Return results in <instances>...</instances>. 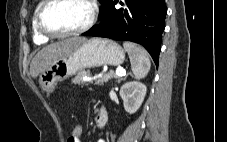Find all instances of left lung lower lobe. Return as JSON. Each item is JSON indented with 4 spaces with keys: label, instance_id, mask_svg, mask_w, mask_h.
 <instances>
[{
    "label": "left lung lower lobe",
    "instance_id": "1",
    "mask_svg": "<svg viewBox=\"0 0 227 142\" xmlns=\"http://www.w3.org/2000/svg\"><path fill=\"white\" fill-rule=\"evenodd\" d=\"M116 3L122 7L116 9ZM166 13L165 0H111L101 12V22L83 35L139 43L158 66Z\"/></svg>",
    "mask_w": 227,
    "mask_h": 142
}]
</instances>
